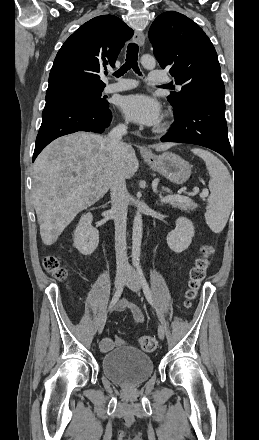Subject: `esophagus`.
<instances>
[{"instance_id":"obj_1","label":"esophagus","mask_w":259,"mask_h":440,"mask_svg":"<svg viewBox=\"0 0 259 440\" xmlns=\"http://www.w3.org/2000/svg\"><path fill=\"white\" fill-rule=\"evenodd\" d=\"M134 42L142 47L144 45V42H145V35H144V33L141 32V31H136L135 34H134ZM140 150H141V152L143 154H150L151 153V150L148 147H146V146H141Z\"/></svg>"}]
</instances>
